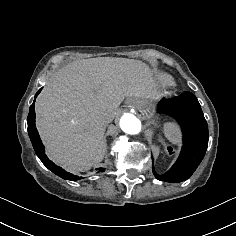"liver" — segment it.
I'll list each match as a JSON object with an SVG mask.
<instances>
[{
	"label": "liver",
	"mask_w": 236,
	"mask_h": 236,
	"mask_svg": "<svg viewBox=\"0 0 236 236\" xmlns=\"http://www.w3.org/2000/svg\"><path fill=\"white\" fill-rule=\"evenodd\" d=\"M151 82L144 63L125 58L82 59L60 68L36 102L37 127L49 156L72 172L101 162L106 125L125 98H150Z\"/></svg>",
	"instance_id": "1"
}]
</instances>
